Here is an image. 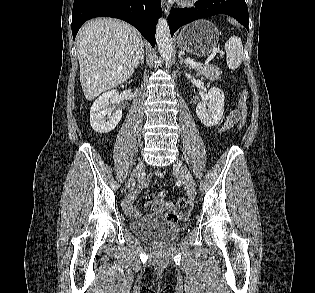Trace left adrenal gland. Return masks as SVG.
Here are the masks:
<instances>
[{"label":"left adrenal gland","instance_id":"left-adrenal-gland-1","mask_svg":"<svg viewBox=\"0 0 315 293\" xmlns=\"http://www.w3.org/2000/svg\"><path fill=\"white\" fill-rule=\"evenodd\" d=\"M179 59H180V64L183 65L185 64L189 69H191V67L188 65V63L183 59V57L181 56V54H179Z\"/></svg>","mask_w":315,"mask_h":293}]
</instances>
